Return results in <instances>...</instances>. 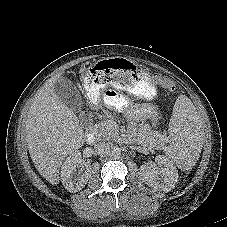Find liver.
<instances>
[{"instance_id": "1", "label": "liver", "mask_w": 227, "mask_h": 227, "mask_svg": "<svg viewBox=\"0 0 227 227\" xmlns=\"http://www.w3.org/2000/svg\"><path fill=\"white\" fill-rule=\"evenodd\" d=\"M61 74L41 87L26 119V141L30 157L40 175L52 185L60 181V167L66 157L84 143V131L76 114L62 103L54 91Z\"/></svg>"}]
</instances>
